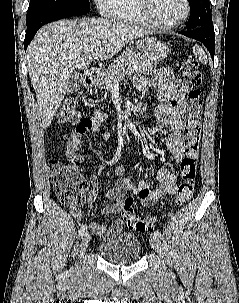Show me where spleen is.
Segmentation results:
<instances>
[{
	"label": "spleen",
	"mask_w": 239,
	"mask_h": 303,
	"mask_svg": "<svg viewBox=\"0 0 239 303\" xmlns=\"http://www.w3.org/2000/svg\"><path fill=\"white\" fill-rule=\"evenodd\" d=\"M192 48H193L194 55L197 56L203 64H207V62H208L207 56H206L205 52L203 51V49L198 45H195Z\"/></svg>",
	"instance_id": "obj_1"
}]
</instances>
